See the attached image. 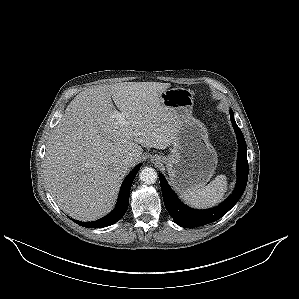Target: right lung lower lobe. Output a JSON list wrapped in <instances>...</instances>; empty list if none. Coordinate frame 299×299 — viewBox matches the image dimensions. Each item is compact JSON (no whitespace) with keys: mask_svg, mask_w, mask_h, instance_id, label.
<instances>
[{"mask_svg":"<svg viewBox=\"0 0 299 299\" xmlns=\"http://www.w3.org/2000/svg\"><path fill=\"white\" fill-rule=\"evenodd\" d=\"M141 167V164H138L125 178V180L122 183L120 193H119V198H118V203L115 207V209L109 213L107 216L96 220V221H91V222H82V221H77L72 219L75 223L79 224L80 226L83 227H88V228H102V227H107L110 226L117 221H119L125 214L128 204H129V194H130V189L132 186V182Z\"/></svg>","mask_w":299,"mask_h":299,"instance_id":"right-lung-lower-lobe-1","label":"right lung lower lobe"}]
</instances>
